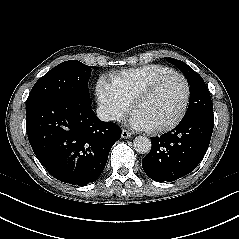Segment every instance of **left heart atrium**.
<instances>
[{
  "instance_id": "left-heart-atrium-1",
  "label": "left heart atrium",
  "mask_w": 239,
  "mask_h": 239,
  "mask_svg": "<svg viewBox=\"0 0 239 239\" xmlns=\"http://www.w3.org/2000/svg\"><path fill=\"white\" fill-rule=\"evenodd\" d=\"M130 124L136 130H147L149 128V126L135 114L132 116Z\"/></svg>"
}]
</instances>
